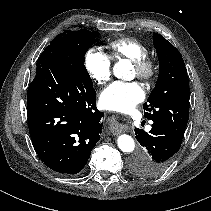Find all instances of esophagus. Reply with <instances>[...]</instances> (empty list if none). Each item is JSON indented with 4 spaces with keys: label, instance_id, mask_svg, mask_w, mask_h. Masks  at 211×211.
<instances>
[{
    "label": "esophagus",
    "instance_id": "34e87169",
    "mask_svg": "<svg viewBox=\"0 0 211 211\" xmlns=\"http://www.w3.org/2000/svg\"><path fill=\"white\" fill-rule=\"evenodd\" d=\"M109 125H110L111 130L115 133H119L123 129L122 124L118 121V117H115V116L111 118Z\"/></svg>",
    "mask_w": 211,
    "mask_h": 211
}]
</instances>
